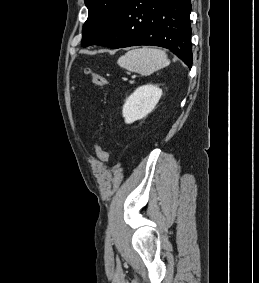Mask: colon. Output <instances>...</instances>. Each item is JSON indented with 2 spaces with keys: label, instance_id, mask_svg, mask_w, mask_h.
<instances>
[{
  "label": "colon",
  "instance_id": "obj_1",
  "mask_svg": "<svg viewBox=\"0 0 259 283\" xmlns=\"http://www.w3.org/2000/svg\"><path fill=\"white\" fill-rule=\"evenodd\" d=\"M83 72L86 76L89 77L91 83L95 86L105 87L108 84L107 79L103 75L93 71L89 67H84ZM97 155L102 162L108 163L109 161L108 151L100 144L97 145Z\"/></svg>",
  "mask_w": 259,
  "mask_h": 283
}]
</instances>
